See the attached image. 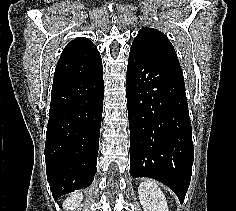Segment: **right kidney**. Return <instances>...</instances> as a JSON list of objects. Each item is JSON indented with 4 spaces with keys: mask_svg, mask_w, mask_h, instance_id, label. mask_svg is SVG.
Wrapping results in <instances>:
<instances>
[{
    "mask_svg": "<svg viewBox=\"0 0 236 211\" xmlns=\"http://www.w3.org/2000/svg\"><path fill=\"white\" fill-rule=\"evenodd\" d=\"M82 199H83L82 193L73 194L63 202V208L65 209V211L68 209L74 211L76 207H79Z\"/></svg>",
    "mask_w": 236,
    "mask_h": 211,
    "instance_id": "obj_1",
    "label": "right kidney"
}]
</instances>
